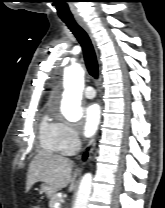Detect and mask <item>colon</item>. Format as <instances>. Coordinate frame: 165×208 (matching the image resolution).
I'll list each match as a JSON object with an SVG mask.
<instances>
[{"instance_id": "1", "label": "colon", "mask_w": 165, "mask_h": 208, "mask_svg": "<svg viewBox=\"0 0 165 208\" xmlns=\"http://www.w3.org/2000/svg\"><path fill=\"white\" fill-rule=\"evenodd\" d=\"M29 208H41V205L38 202L33 201L29 204Z\"/></svg>"}]
</instances>
